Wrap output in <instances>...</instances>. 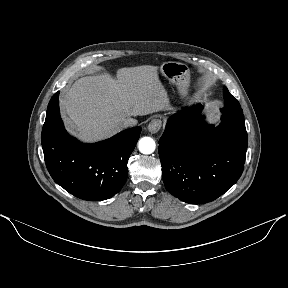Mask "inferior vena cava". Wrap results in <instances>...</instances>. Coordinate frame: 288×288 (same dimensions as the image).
<instances>
[{
	"mask_svg": "<svg viewBox=\"0 0 288 288\" xmlns=\"http://www.w3.org/2000/svg\"><path fill=\"white\" fill-rule=\"evenodd\" d=\"M138 123V121L134 118H127L124 120L123 122V126L124 127H131V126H135Z\"/></svg>",
	"mask_w": 288,
	"mask_h": 288,
	"instance_id": "obj_1",
	"label": "inferior vena cava"
}]
</instances>
